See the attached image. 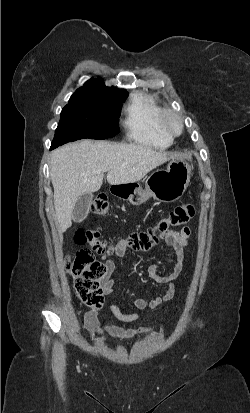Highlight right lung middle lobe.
Returning <instances> with one entry per match:
<instances>
[{"instance_id": "obj_1", "label": "right lung middle lobe", "mask_w": 250, "mask_h": 413, "mask_svg": "<svg viewBox=\"0 0 250 413\" xmlns=\"http://www.w3.org/2000/svg\"><path fill=\"white\" fill-rule=\"evenodd\" d=\"M126 97L76 91L62 109L51 147L83 138L115 136L119 132L120 108Z\"/></svg>"}]
</instances>
